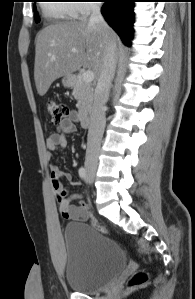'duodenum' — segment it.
Returning <instances> with one entry per match:
<instances>
[{
  "label": "duodenum",
  "mask_w": 195,
  "mask_h": 299,
  "mask_svg": "<svg viewBox=\"0 0 195 299\" xmlns=\"http://www.w3.org/2000/svg\"><path fill=\"white\" fill-rule=\"evenodd\" d=\"M71 82L75 83L74 77L71 78ZM78 119L80 120L81 125L84 127H88L91 124V117L89 114L81 113L78 115Z\"/></svg>",
  "instance_id": "obj_1"
}]
</instances>
